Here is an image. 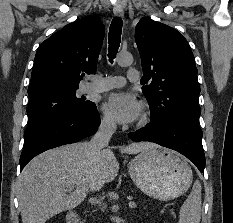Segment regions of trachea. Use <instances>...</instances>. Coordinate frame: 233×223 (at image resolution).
Returning <instances> with one entry per match:
<instances>
[{"label": "trachea", "instance_id": "1", "mask_svg": "<svg viewBox=\"0 0 233 223\" xmlns=\"http://www.w3.org/2000/svg\"><path fill=\"white\" fill-rule=\"evenodd\" d=\"M123 22L121 18L115 17L110 25L109 29V48L108 57L112 63L115 58L118 48L120 46L121 32H122Z\"/></svg>", "mask_w": 233, "mask_h": 223}]
</instances>
